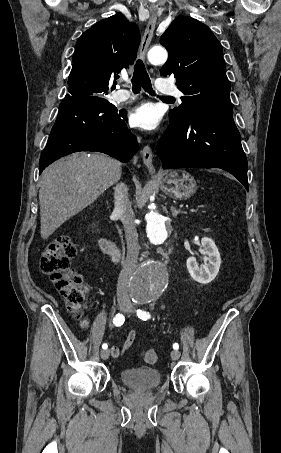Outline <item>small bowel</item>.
I'll use <instances>...</instances> for the list:
<instances>
[{
  "mask_svg": "<svg viewBox=\"0 0 281 453\" xmlns=\"http://www.w3.org/2000/svg\"><path fill=\"white\" fill-rule=\"evenodd\" d=\"M134 340H135V332L129 331L128 336L123 343V346L121 348L118 346H112L109 349V351L113 356H122L130 349Z\"/></svg>",
  "mask_w": 281,
  "mask_h": 453,
  "instance_id": "obj_1",
  "label": "small bowel"
}]
</instances>
